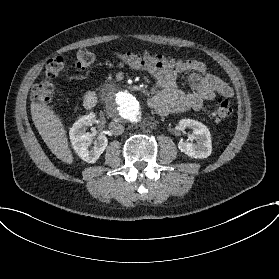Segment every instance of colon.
I'll return each instance as SVG.
<instances>
[{
    "mask_svg": "<svg viewBox=\"0 0 279 279\" xmlns=\"http://www.w3.org/2000/svg\"><path fill=\"white\" fill-rule=\"evenodd\" d=\"M76 67L85 69L95 61L93 52L86 48L79 49L75 54ZM66 57L58 54L51 57L44 67L45 79L33 88L32 96L35 101L47 103L55 93V84L52 81L63 70ZM231 105L226 100L217 101L213 108L212 116L215 120L221 121L227 119L231 114Z\"/></svg>",
    "mask_w": 279,
    "mask_h": 279,
    "instance_id": "5ec220e1",
    "label": "colon"
}]
</instances>
